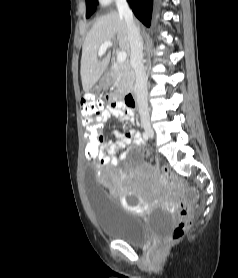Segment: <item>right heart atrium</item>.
Segmentation results:
<instances>
[{
	"label": "right heart atrium",
	"mask_w": 238,
	"mask_h": 278,
	"mask_svg": "<svg viewBox=\"0 0 238 278\" xmlns=\"http://www.w3.org/2000/svg\"><path fill=\"white\" fill-rule=\"evenodd\" d=\"M101 4L103 5H107L110 4L111 2H113L114 0H99Z\"/></svg>",
	"instance_id": "right-heart-atrium-1"
}]
</instances>
